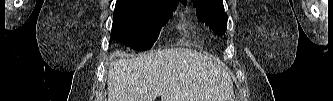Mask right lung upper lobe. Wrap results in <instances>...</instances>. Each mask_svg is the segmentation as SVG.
I'll return each instance as SVG.
<instances>
[{
    "instance_id": "1",
    "label": "right lung upper lobe",
    "mask_w": 333,
    "mask_h": 101,
    "mask_svg": "<svg viewBox=\"0 0 333 101\" xmlns=\"http://www.w3.org/2000/svg\"><path fill=\"white\" fill-rule=\"evenodd\" d=\"M180 1L187 2V0H180Z\"/></svg>"
}]
</instances>
